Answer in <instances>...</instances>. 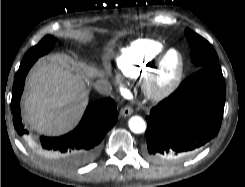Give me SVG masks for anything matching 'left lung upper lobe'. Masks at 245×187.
<instances>
[{"label": "left lung upper lobe", "instance_id": "5c2ea615", "mask_svg": "<svg viewBox=\"0 0 245 187\" xmlns=\"http://www.w3.org/2000/svg\"><path fill=\"white\" fill-rule=\"evenodd\" d=\"M185 35L191 47L192 62L198 69L218 62V56L212 45L190 29H186Z\"/></svg>", "mask_w": 245, "mask_h": 187}]
</instances>
